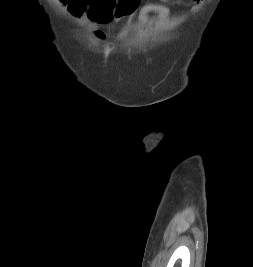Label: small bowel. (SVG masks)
<instances>
[{"mask_svg":"<svg viewBox=\"0 0 253 267\" xmlns=\"http://www.w3.org/2000/svg\"><path fill=\"white\" fill-rule=\"evenodd\" d=\"M168 1V0H162ZM198 9L203 0H191ZM69 11L74 15L85 14L97 24H108L124 20L118 33L120 38L133 19L138 16L139 25L144 27L151 14H156L166 20L169 15L167 6L161 3L141 4V0H66Z\"/></svg>","mask_w":253,"mask_h":267,"instance_id":"c3829d8e","label":"small bowel"}]
</instances>
